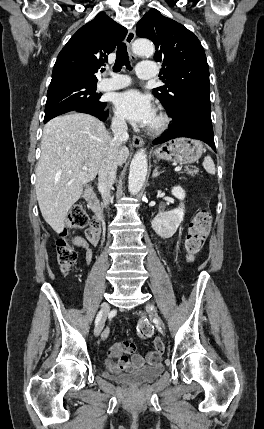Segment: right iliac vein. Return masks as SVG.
<instances>
[{
	"label": "right iliac vein",
	"instance_id": "right-iliac-vein-1",
	"mask_svg": "<svg viewBox=\"0 0 264 429\" xmlns=\"http://www.w3.org/2000/svg\"><path fill=\"white\" fill-rule=\"evenodd\" d=\"M102 314H101V320L99 321V323L96 325V328H95V330H94V335L96 336V337H98L99 335H100V333L102 332V330H103V327H104V323H106V321H107V318H108V314L111 312L110 311V305L107 303V305L106 306H104L103 308H102Z\"/></svg>",
	"mask_w": 264,
	"mask_h": 429
}]
</instances>
